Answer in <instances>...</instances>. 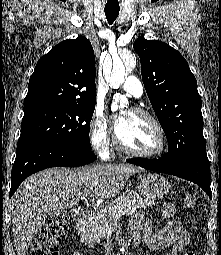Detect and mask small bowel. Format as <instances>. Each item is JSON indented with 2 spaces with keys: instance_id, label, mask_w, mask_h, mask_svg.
Returning a JSON list of instances; mask_svg holds the SVG:
<instances>
[{
  "instance_id": "small-bowel-1",
  "label": "small bowel",
  "mask_w": 221,
  "mask_h": 255,
  "mask_svg": "<svg viewBox=\"0 0 221 255\" xmlns=\"http://www.w3.org/2000/svg\"><path fill=\"white\" fill-rule=\"evenodd\" d=\"M162 214L166 218L174 215L173 205L166 203ZM129 232L134 240L144 242L150 249L163 252L171 248L169 255H179L190 241V235L178 220L169 221L163 228L154 229L149 220L141 215L134 216L130 222ZM73 255H85L76 251Z\"/></svg>"
}]
</instances>
